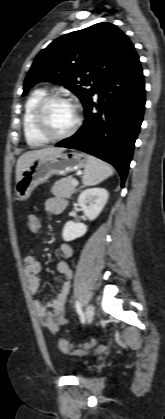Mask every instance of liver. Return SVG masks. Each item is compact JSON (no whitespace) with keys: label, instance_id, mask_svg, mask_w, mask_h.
Wrapping results in <instances>:
<instances>
[{"label":"liver","instance_id":"6515ba94","mask_svg":"<svg viewBox=\"0 0 165 419\" xmlns=\"http://www.w3.org/2000/svg\"><path fill=\"white\" fill-rule=\"evenodd\" d=\"M65 148L45 147L38 150L27 151L22 154L16 165V182L19 180L22 172L38 157L61 153Z\"/></svg>","mask_w":165,"mask_h":419}]
</instances>
